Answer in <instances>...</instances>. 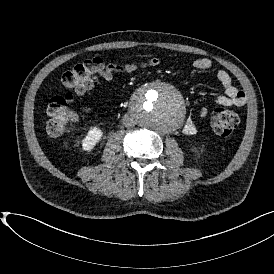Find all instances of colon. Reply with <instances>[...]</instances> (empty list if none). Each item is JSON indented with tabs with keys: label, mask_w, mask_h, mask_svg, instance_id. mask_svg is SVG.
Listing matches in <instances>:
<instances>
[{
	"label": "colon",
	"mask_w": 274,
	"mask_h": 274,
	"mask_svg": "<svg viewBox=\"0 0 274 274\" xmlns=\"http://www.w3.org/2000/svg\"><path fill=\"white\" fill-rule=\"evenodd\" d=\"M106 65H109L107 61L101 58H93L75 65L62 75L61 85L66 93L64 95H53L47 101L50 118L46 130L49 136L57 137L76 123L77 114L69 108L72 103V93L84 86L93 77L100 76L101 69ZM238 124L239 117L235 111L221 108L212 115L211 126L217 135H230L237 129Z\"/></svg>",
	"instance_id": "colon-1"
}]
</instances>
